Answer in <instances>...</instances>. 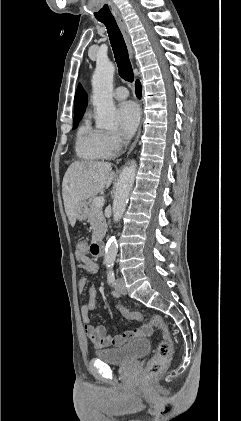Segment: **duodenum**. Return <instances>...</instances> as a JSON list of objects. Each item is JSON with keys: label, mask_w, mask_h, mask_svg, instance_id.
<instances>
[{"label": "duodenum", "mask_w": 241, "mask_h": 421, "mask_svg": "<svg viewBox=\"0 0 241 421\" xmlns=\"http://www.w3.org/2000/svg\"><path fill=\"white\" fill-rule=\"evenodd\" d=\"M105 243L103 239H95L91 245V253L94 256L101 257L104 254Z\"/></svg>", "instance_id": "410a0bca"}]
</instances>
